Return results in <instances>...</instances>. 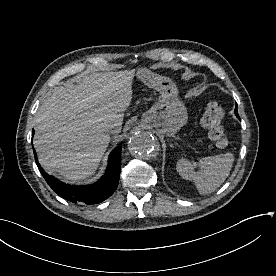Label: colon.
Returning a JSON list of instances; mask_svg holds the SVG:
<instances>
[{
  "instance_id": "colon-1",
  "label": "colon",
  "mask_w": 276,
  "mask_h": 276,
  "mask_svg": "<svg viewBox=\"0 0 276 276\" xmlns=\"http://www.w3.org/2000/svg\"><path fill=\"white\" fill-rule=\"evenodd\" d=\"M225 116V108L220 99H214L207 103L201 118L202 126L207 130L209 138L219 148H225L229 139L222 124Z\"/></svg>"
}]
</instances>
